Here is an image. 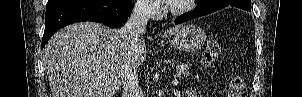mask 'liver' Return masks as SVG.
<instances>
[{"instance_id":"liver-1","label":"liver","mask_w":302,"mask_h":97,"mask_svg":"<svg viewBox=\"0 0 302 97\" xmlns=\"http://www.w3.org/2000/svg\"><path fill=\"white\" fill-rule=\"evenodd\" d=\"M179 29L170 28L164 37ZM146 54L143 37L132 51L121 30L93 22L64 27L44 47L43 62L52 97H113L129 65L136 62L139 67Z\"/></svg>"}]
</instances>
